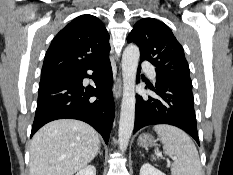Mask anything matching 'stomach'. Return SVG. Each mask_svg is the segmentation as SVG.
<instances>
[{
	"mask_svg": "<svg viewBox=\"0 0 233 175\" xmlns=\"http://www.w3.org/2000/svg\"><path fill=\"white\" fill-rule=\"evenodd\" d=\"M154 138L150 134H143L139 137V144L141 146L147 147L154 143Z\"/></svg>",
	"mask_w": 233,
	"mask_h": 175,
	"instance_id": "stomach-1",
	"label": "stomach"
}]
</instances>
